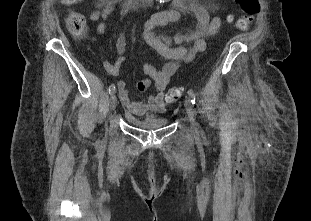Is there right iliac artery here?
Returning a JSON list of instances; mask_svg holds the SVG:
<instances>
[{
  "label": "right iliac artery",
  "instance_id": "82829eb1",
  "mask_svg": "<svg viewBox=\"0 0 311 221\" xmlns=\"http://www.w3.org/2000/svg\"><path fill=\"white\" fill-rule=\"evenodd\" d=\"M115 92V85L114 84H111L110 86H109V94H112V93H114Z\"/></svg>",
  "mask_w": 311,
  "mask_h": 221
}]
</instances>
